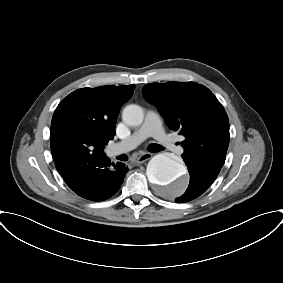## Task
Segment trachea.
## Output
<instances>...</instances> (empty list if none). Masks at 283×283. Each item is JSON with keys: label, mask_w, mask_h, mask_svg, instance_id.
Wrapping results in <instances>:
<instances>
[{"label": "trachea", "mask_w": 283, "mask_h": 283, "mask_svg": "<svg viewBox=\"0 0 283 283\" xmlns=\"http://www.w3.org/2000/svg\"><path fill=\"white\" fill-rule=\"evenodd\" d=\"M164 148L159 144H151L148 148L150 152H159L162 151Z\"/></svg>", "instance_id": "obj_1"}]
</instances>
